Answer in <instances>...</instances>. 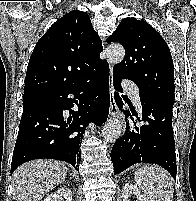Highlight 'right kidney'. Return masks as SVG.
<instances>
[{"label":"right kidney","instance_id":"1","mask_svg":"<svg viewBox=\"0 0 196 201\" xmlns=\"http://www.w3.org/2000/svg\"><path fill=\"white\" fill-rule=\"evenodd\" d=\"M44 201H72V192L69 188H60L49 194Z\"/></svg>","mask_w":196,"mask_h":201}]
</instances>
